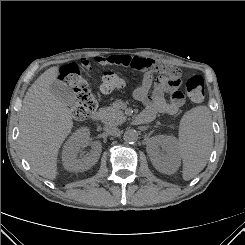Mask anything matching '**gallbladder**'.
I'll return each mask as SVG.
<instances>
[{
    "mask_svg": "<svg viewBox=\"0 0 245 245\" xmlns=\"http://www.w3.org/2000/svg\"><path fill=\"white\" fill-rule=\"evenodd\" d=\"M50 90L61 102L68 106H72L77 101V96L72 86L62 82L55 81L51 86Z\"/></svg>",
    "mask_w": 245,
    "mask_h": 245,
    "instance_id": "gallbladder-1",
    "label": "gallbladder"
}]
</instances>
